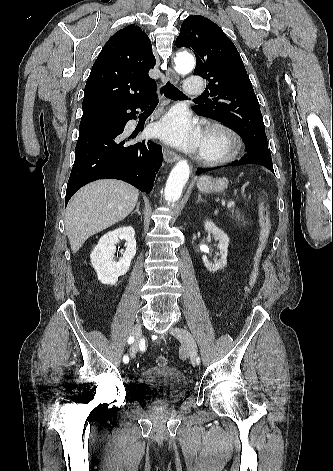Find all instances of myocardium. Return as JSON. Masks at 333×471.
I'll list each match as a JSON object with an SVG mask.
<instances>
[{
	"label": "myocardium",
	"mask_w": 333,
	"mask_h": 471,
	"mask_svg": "<svg viewBox=\"0 0 333 471\" xmlns=\"http://www.w3.org/2000/svg\"><path fill=\"white\" fill-rule=\"evenodd\" d=\"M218 137L223 143L224 147L220 152L209 153L203 148L198 152L199 161L208 166L220 165L234 160L242 150V140L239 135L230 127L221 124H209L204 131V138Z\"/></svg>",
	"instance_id": "1"
}]
</instances>
